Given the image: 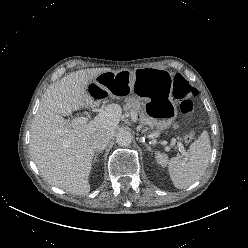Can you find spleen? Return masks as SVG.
I'll return each mask as SVG.
<instances>
[{"mask_svg":"<svg viewBox=\"0 0 248 248\" xmlns=\"http://www.w3.org/2000/svg\"><path fill=\"white\" fill-rule=\"evenodd\" d=\"M211 158V144L207 131L194 141L184 156L172 157L164 153H155V159L162 167L168 166L174 186L184 189L194 184L205 173Z\"/></svg>","mask_w":248,"mask_h":248,"instance_id":"3e777b00","label":"spleen"}]
</instances>
